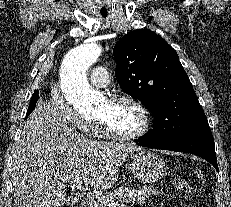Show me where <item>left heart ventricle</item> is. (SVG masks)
I'll return each mask as SVG.
<instances>
[{
    "mask_svg": "<svg viewBox=\"0 0 231 207\" xmlns=\"http://www.w3.org/2000/svg\"><path fill=\"white\" fill-rule=\"evenodd\" d=\"M97 118L105 121L115 132L132 134L142 126V116L137 108L128 103H102Z\"/></svg>",
    "mask_w": 231,
    "mask_h": 207,
    "instance_id": "b2bd125f",
    "label": "left heart ventricle"
}]
</instances>
